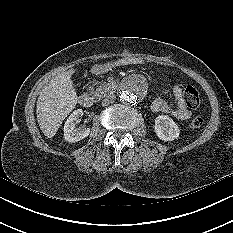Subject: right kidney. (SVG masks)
I'll list each match as a JSON object with an SVG mask.
<instances>
[{"label": "right kidney", "instance_id": "right-kidney-1", "mask_svg": "<svg viewBox=\"0 0 233 233\" xmlns=\"http://www.w3.org/2000/svg\"><path fill=\"white\" fill-rule=\"evenodd\" d=\"M82 115H83V110L77 109L66 120L64 124V138L66 141L78 142L89 135L90 133L89 128H83V129L76 128V123L78 122L79 118Z\"/></svg>", "mask_w": 233, "mask_h": 233}]
</instances>
